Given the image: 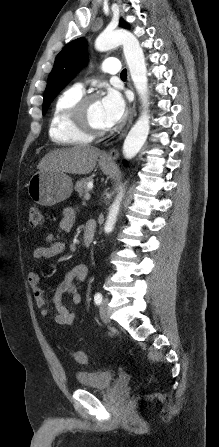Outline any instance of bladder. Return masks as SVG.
I'll return each mask as SVG.
<instances>
[{
    "instance_id": "1",
    "label": "bladder",
    "mask_w": 219,
    "mask_h": 447,
    "mask_svg": "<svg viewBox=\"0 0 219 447\" xmlns=\"http://www.w3.org/2000/svg\"><path fill=\"white\" fill-rule=\"evenodd\" d=\"M115 380V373L111 371H78L76 382L83 389L106 390L110 388Z\"/></svg>"
}]
</instances>
